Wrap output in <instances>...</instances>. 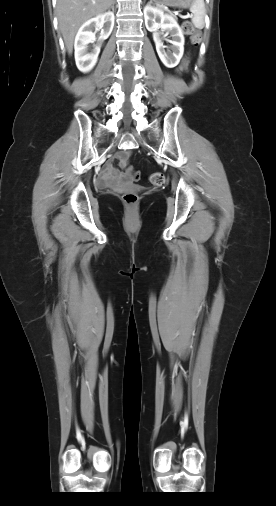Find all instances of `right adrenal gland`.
Segmentation results:
<instances>
[{
  "label": "right adrenal gland",
  "instance_id": "obj_1",
  "mask_svg": "<svg viewBox=\"0 0 276 506\" xmlns=\"http://www.w3.org/2000/svg\"><path fill=\"white\" fill-rule=\"evenodd\" d=\"M111 9H112V11H114V3L112 4Z\"/></svg>",
  "mask_w": 276,
  "mask_h": 506
}]
</instances>
